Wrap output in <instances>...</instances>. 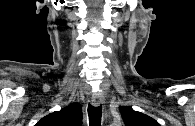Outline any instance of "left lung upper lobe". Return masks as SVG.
<instances>
[{
  "instance_id": "5c2ea615",
  "label": "left lung upper lobe",
  "mask_w": 195,
  "mask_h": 126,
  "mask_svg": "<svg viewBox=\"0 0 195 126\" xmlns=\"http://www.w3.org/2000/svg\"><path fill=\"white\" fill-rule=\"evenodd\" d=\"M120 112L126 126H160L153 118L130 107H120Z\"/></svg>"
}]
</instances>
